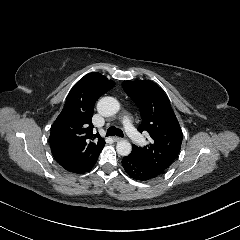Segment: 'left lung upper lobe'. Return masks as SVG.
Here are the masks:
<instances>
[{"mask_svg":"<svg viewBox=\"0 0 240 240\" xmlns=\"http://www.w3.org/2000/svg\"><path fill=\"white\" fill-rule=\"evenodd\" d=\"M122 86L140 109L142 123L139 132L149 133V145L133 144L132 154L148 164L166 169L177 158L183 134L164 91L149 80L124 81Z\"/></svg>","mask_w":240,"mask_h":240,"instance_id":"obj_1","label":"left lung upper lobe"}]
</instances>
